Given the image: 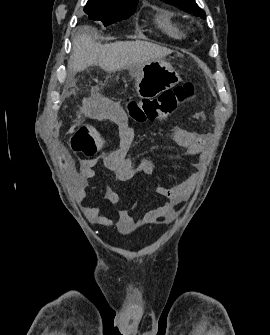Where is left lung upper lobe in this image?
<instances>
[{
  "instance_id": "1",
  "label": "left lung upper lobe",
  "mask_w": 270,
  "mask_h": 335,
  "mask_svg": "<svg viewBox=\"0 0 270 335\" xmlns=\"http://www.w3.org/2000/svg\"><path fill=\"white\" fill-rule=\"evenodd\" d=\"M166 3L174 5L181 10L188 13H192L195 16H199L203 19L206 18L204 10H202L196 3L195 0H164Z\"/></svg>"
}]
</instances>
